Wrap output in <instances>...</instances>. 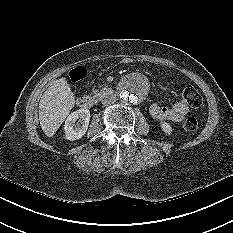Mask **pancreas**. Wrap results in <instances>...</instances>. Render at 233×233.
<instances>
[{"label":"pancreas","instance_id":"obj_1","mask_svg":"<svg viewBox=\"0 0 233 233\" xmlns=\"http://www.w3.org/2000/svg\"><path fill=\"white\" fill-rule=\"evenodd\" d=\"M109 90L107 86L101 88L100 90L93 89L92 92L96 94L97 96H104L106 92Z\"/></svg>","mask_w":233,"mask_h":233}]
</instances>
